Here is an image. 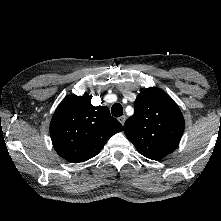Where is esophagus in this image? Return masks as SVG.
Masks as SVG:
<instances>
[{"label":"esophagus","instance_id":"obj_1","mask_svg":"<svg viewBox=\"0 0 221 221\" xmlns=\"http://www.w3.org/2000/svg\"><path fill=\"white\" fill-rule=\"evenodd\" d=\"M127 117L125 115L121 116L118 118L119 122L124 125L125 121H126Z\"/></svg>","mask_w":221,"mask_h":221}]
</instances>
